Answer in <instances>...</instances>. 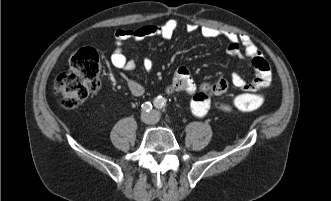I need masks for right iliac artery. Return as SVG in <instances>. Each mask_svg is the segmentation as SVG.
Segmentation results:
<instances>
[{
    "mask_svg": "<svg viewBox=\"0 0 331 201\" xmlns=\"http://www.w3.org/2000/svg\"><path fill=\"white\" fill-rule=\"evenodd\" d=\"M142 109L149 112L152 109V104L150 102H145L142 104Z\"/></svg>",
    "mask_w": 331,
    "mask_h": 201,
    "instance_id": "1",
    "label": "right iliac artery"
}]
</instances>
